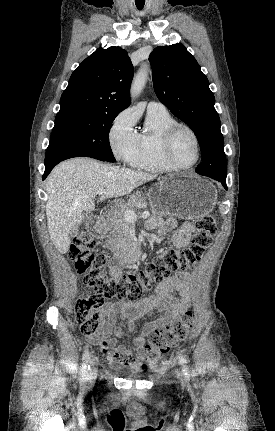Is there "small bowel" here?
I'll return each mask as SVG.
<instances>
[{
    "mask_svg": "<svg viewBox=\"0 0 275 431\" xmlns=\"http://www.w3.org/2000/svg\"><path fill=\"white\" fill-rule=\"evenodd\" d=\"M149 228H159L165 234L172 232V242L177 248L186 247L194 232L191 222H184L177 226L174 220L160 222L156 218L148 221ZM121 274V265L113 260L110 266V275ZM189 275L184 272L169 276L159 283L155 293L149 294L138 301H122L107 303L103 308L105 323L100 332L93 337H87L89 343L99 345L107 361L113 364H135L133 355L143 356L147 334L154 329L166 326L180 318L187 311L191 301L188 286ZM180 297H176L175 294ZM157 317L147 322L138 335L125 345H117L120 338H129L134 330L136 321L145 316ZM119 317L120 321H117Z\"/></svg>",
    "mask_w": 275,
    "mask_h": 431,
    "instance_id": "small-bowel-1",
    "label": "small bowel"
}]
</instances>
